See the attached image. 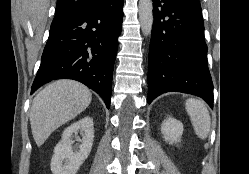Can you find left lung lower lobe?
I'll return each instance as SVG.
<instances>
[{
	"label": "left lung lower lobe",
	"mask_w": 249,
	"mask_h": 174,
	"mask_svg": "<svg viewBox=\"0 0 249 174\" xmlns=\"http://www.w3.org/2000/svg\"><path fill=\"white\" fill-rule=\"evenodd\" d=\"M148 103L165 92L203 98L213 107L202 13L180 0H152Z\"/></svg>",
	"instance_id": "obj_1"
}]
</instances>
